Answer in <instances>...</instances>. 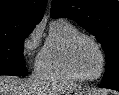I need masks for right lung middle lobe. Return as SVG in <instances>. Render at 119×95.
<instances>
[{
    "instance_id": "dd1d6c3e",
    "label": "right lung middle lobe",
    "mask_w": 119,
    "mask_h": 95,
    "mask_svg": "<svg viewBox=\"0 0 119 95\" xmlns=\"http://www.w3.org/2000/svg\"><path fill=\"white\" fill-rule=\"evenodd\" d=\"M33 26L20 25L0 31V75L26 76L23 58V41Z\"/></svg>"
}]
</instances>
